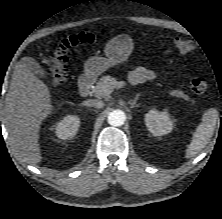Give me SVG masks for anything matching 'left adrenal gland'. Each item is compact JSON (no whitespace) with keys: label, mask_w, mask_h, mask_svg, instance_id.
<instances>
[{"label":"left adrenal gland","mask_w":222,"mask_h":219,"mask_svg":"<svg viewBox=\"0 0 222 219\" xmlns=\"http://www.w3.org/2000/svg\"><path fill=\"white\" fill-rule=\"evenodd\" d=\"M139 96H140V94L138 93V94L136 95V97H135L133 100H130L128 103H129L131 106H134V105L136 104L137 100L139 99Z\"/></svg>","instance_id":"left-adrenal-gland-1"}]
</instances>
